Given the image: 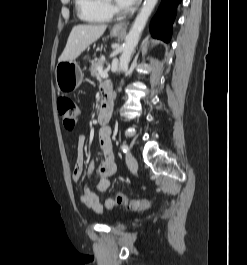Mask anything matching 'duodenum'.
Segmentation results:
<instances>
[{
  "label": "duodenum",
  "instance_id": "1",
  "mask_svg": "<svg viewBox=\"0 0 247 265\" xmlns=\"http://www.w3.org/2000/svg\"><path fill=\"white\" fill-rule=\"evenodd\" d=\"M111 116V91L108 88L103 89L101 108L98 114L100 124H105Z\"/></svg>",
  "mask_w": 247,
  "mask_h": 265
}]
</instances>
